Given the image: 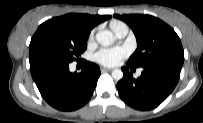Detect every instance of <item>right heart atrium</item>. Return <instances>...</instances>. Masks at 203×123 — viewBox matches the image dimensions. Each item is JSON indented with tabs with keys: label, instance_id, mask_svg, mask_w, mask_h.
<instances>
[{
	"label": "right heart atrium",
	"instance_id": "right-heart-atrium-1",
	"mask_svg": "<svg viewBox=\"0 0 203 123\" xmlns=\"http://www.w3.org/2000/svg\"><path fill=\"white\" fill-rule=\"evenodd\" d=\"M93 38V33L90 35V39H92Z\"/></svg>",
	"mask_w": 203,
	"mask_h": 123
}]
</instances>
